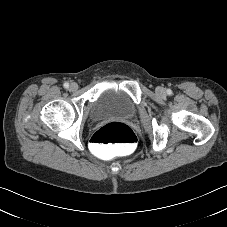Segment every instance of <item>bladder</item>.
Here are the masks:
<instances>
[{"label":"bladder","instance_id":"bladder-1","mask_svg":"<svg viewBox=\"0 0 227 227\" xmlns=\"http://www.w3.org/2000/svg\"><path fill=\"white\" fill-rule=\"evenodd\" d=\"M135 111V104L127 95L107 90L94 102L89 112V118L92 121L110 118L128 119L135 114Z\"/></svg>","mask_w":227,"mask_h":227}]
</instances>
